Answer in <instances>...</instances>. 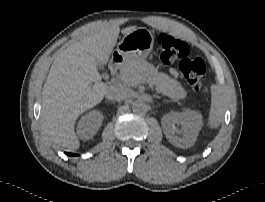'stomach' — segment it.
Instances as JSON below:
<instances>
[{
  "label": "stomach",
  "mask_w": 265,
  "mask_h": 202,
  "mask_svg": "<svg viewBox=\"0 0 265 202\" xmlns=\"http://www.w3.org/2000/svg\"><path fill=\"white\" fill-rule=\"evenodd\" d=\"M154 45V36L146 28H138L122 38L117 44L116 52L123 57L125 61L143 60L152 51Z\"/></svg>",
  "instance_id": "obj_1"
}]
</instances>
